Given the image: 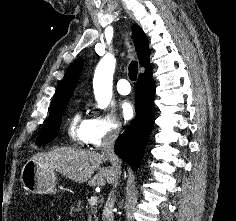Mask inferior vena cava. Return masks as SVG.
<instances>
[{"mask_svg":"<svg viewBox=\"0 0 236 221\" xmlns=\"http://www.w3.org/2000/svg\"><path fill=\"white\" fill-rule=\"evenodd\" d=\"M119 132V128H112L105 134L101 144V154L108 158V160L112 164V168L115 171V177L111 182V184L113 185V189L108 196V200L106 201L102 213L103 221H114L113 207L115 202V188L117 187L118 178L121 174V161L114 150V144L119 135Z\"/></svg>","mask_w":236,"mask_h":221,"instance_id":"1","label":"inferior vena cava"}]
</instances>
